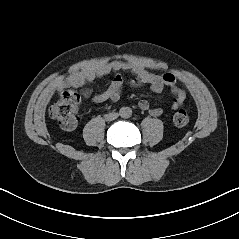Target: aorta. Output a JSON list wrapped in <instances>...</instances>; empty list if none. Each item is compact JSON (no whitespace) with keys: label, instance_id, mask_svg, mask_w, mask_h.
<instances>
[{"label":"aorta","instance_id":"aorta-1","mask_svg":"<svg viewBox=\"0 0 239 239\" xmlns=\"http://www.w3.org/2000/svg\"><path fill=\"white\" fill-rule=\"evenodd\" d=\"M132 114V110L128 107H125L121 110V116L124 118L130 117Z\"/></svg>","mask_w":239,"mask_h":239}]
</instances>
